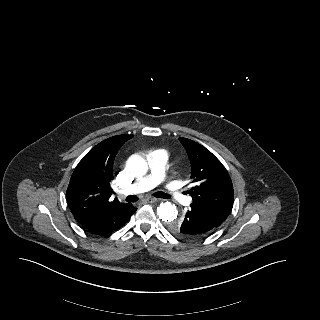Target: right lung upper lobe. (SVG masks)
Here are the masks:
<instances>
[{
	"label": "right lung upper lobe",
	"instance_id": "1",
	"mask_svg": "<svg viewBox=\"0 0 320 320\" xmlns=\"http://www.w3.org/2000/svg\"><path fill=\"white\" fill-rule=\"evenodd\" d=\"M133 135L110 137L92 148L75 168L67 189V202L75 219L84 224L126 205L110 197L113 161L120 147Z\"/></svg>",
	"mask_w": 320,
	"mask_h": 320
}]
</instances>
